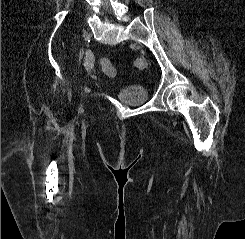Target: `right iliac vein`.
Segmentation results:
<instances>
[{
  "label": "right iliac vein",
  "instance_id": "1",
  "mask_svg": "<svg viewBox=\"0 0 245 239\" xmlns=\"http://www.w3.org/2000/svg\"><path fill=\"white\" fill-rule=\"evenodd\" d=\"M83 55H84V49L82 48L80 50V54H79V59L81 60L83 58Z\"/></svg>",
  "mask_w": 245,
  "mask_h": 239
}]
</instances>
